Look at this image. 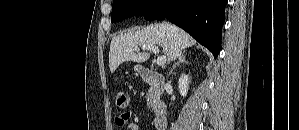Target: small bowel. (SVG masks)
<instances>
[{
    "label": "small bowel",
    "mask_w": 299,
    "mask_h": 130,
    "mask_svg": "<svg viewBox=\"0 0 299 130\" xmlns=\"http://www.w3.org/2000/svg\"><path fill=\"white\" fill-rule=\"evenodd\" d=\"M130 116V113H123L115 118V122L117 125L122 126L126 123ZM126 129L128 130H140L139 125L136 122H131L126 125Z\"/></svg>",
    "instance_id": "1"
}]
</instances>
